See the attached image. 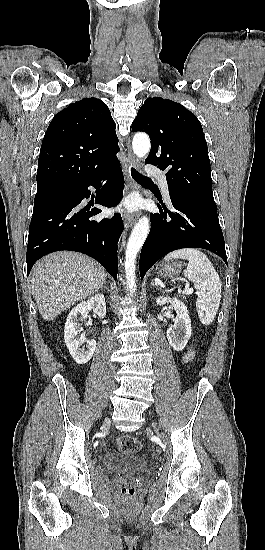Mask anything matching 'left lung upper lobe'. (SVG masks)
<instances>
[{"label":"left lung upper lobe","mask_w":265,"mask_h":550,"mask_svg":"<svg viewBox=\"0 0 265 550\" xmlns=\"http://www.w3.org/2000/svg\"><path fill=\"white\" fill-rule=\"evenodd\" d=\"M132 130L149 135L151 150L145 162L166 172L170 199L189 198L217 209L207 143L192 112L168 99L148 98Z\"/></svg>","instance_id":"left-lung-upper-lobe-1"}]
</instances>
